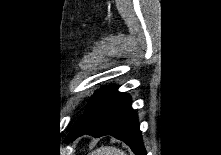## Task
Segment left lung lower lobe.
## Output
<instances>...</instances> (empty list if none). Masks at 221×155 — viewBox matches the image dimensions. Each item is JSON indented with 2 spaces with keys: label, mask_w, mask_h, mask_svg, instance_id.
Here are the masks:
<instances>
[{
  "label": "left lung lower lobe",
  "mask_w": 221,
  "mask_h": 155,
  "mask_svg": "<svg viewBox=\"0 0 221 155\" xmlns=\"http://www.w3.org/2000/svg\"><path fill=\"white\" fill-rule=\"evenodd\" d=\"M91 134L95 137L112 135L124 141L136 155H146L137 114L131 108L129 95L116 87L100 89L90 99L85 113L71 129L68 141Z\"/></svg>",
  "instance_id": "0a47b994"
}]
</instances>
